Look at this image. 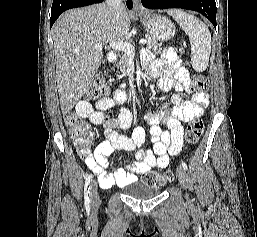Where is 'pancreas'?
Listing matches in <instances>:
<instances>
[{
  "label": "pancreas",
  "instance_id": "1",
  "mask_svg": "<svg viewBox=\"0 0 257 237\" xmlns=\"http://www.w3.org/2000/svg\"><path fill=\"white\" fill-rule=\"evenodd\" d=\"M146 42H147L148 50H152V51L156 52L157 50L161 49L162 44L158 43L156 40H154L152 38H147ZM129 59H130V55L128 53L124 52L123 55L121 56L119 63L116 65L117 68L122 73H126Z\"/></svg>",
  "mask_w": 257,
  "mask_h": 237
}]
</instances>
